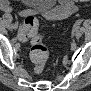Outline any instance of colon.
<instances>
[{
    "label": "colon",
    "mask_w": 91,
    "mask_h": 91,
    "mask_svg": "<svg viewBox=\"0 0 91 91\" xmlns=\"http://www.w3.org/2000/svg\"><path fill=\"white\" fill-rule=\"evenodd\" d=\"M21 35L30 39V57L37 73H41L49 59V47L45 43V35L39 32V22L34 14H27L24 17L23 25L20 29Z\"/></svg>",
    "instance_id": "colon-1"
}]
</instances>
